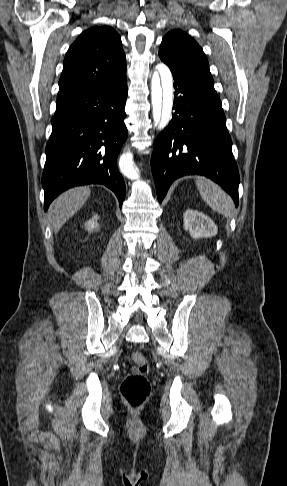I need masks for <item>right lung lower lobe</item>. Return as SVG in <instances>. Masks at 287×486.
<instances>
[{
	"label": "right lung lower lobe",
	"mask_w": 287,
	"mask_h": 486,
	"mask_svg": "<svg viewBox=\"0 0 287 486\" xmlns=\"http://www.w3.org/2000/svg\"><path fill=\"white\" fill-rule=\"evenodd\" d=\"M127 80L57 107L42 175L44 210L64 190L104 184L122 206L126 188L116 159L127 139Z\"/></svg>",
	"instance_id": "right-lung-lower-lobe-1"
}]
</instances>
